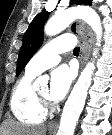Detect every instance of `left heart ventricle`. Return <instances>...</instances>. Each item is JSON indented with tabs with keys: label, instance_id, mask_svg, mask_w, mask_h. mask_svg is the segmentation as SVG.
I'll list each match as a JSON object with an SVG mask.
<instances>
[{
	"label": "left heart ventricle",
	"instance_id": "1",
	"mask_svg": "<svg viewBox=\"0 0 112 135\" xmlns=\"http://www.w3.org/2000/svg\"><path fill=\"white\" fill-rule=\"evenodd\" d=\"M38 93L43 97L49 98V87L48 86L42 87L40 90H38Z\"/></svg>",
	"mask_w": 112,
	"mask_h": 135
}]
</instances>
